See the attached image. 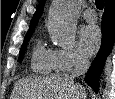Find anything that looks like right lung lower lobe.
<instances>
[{
    "label": "right lung lower lobe",
    "instance_id": "98d812e1",
    "mask_svg": "<svg viewBox=\"0 0 115 99\" xmlns=\"http://www.w3.org/2000/svg\"><path fill=\"white\" fill-rule=\"evenodd\" d=\"M102 42L101 48L96 58L91 64L85 77L86 83L97 93L99 87V77L108 54L111 52L115 39V0L105 4L102 16Z\"/></svg>",
    "mask_w": 115,
    "mask_h": 99
}]
</instances>
